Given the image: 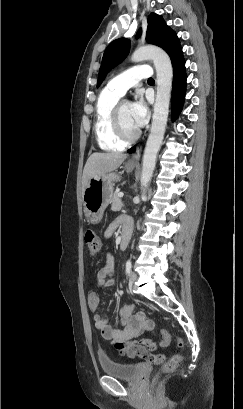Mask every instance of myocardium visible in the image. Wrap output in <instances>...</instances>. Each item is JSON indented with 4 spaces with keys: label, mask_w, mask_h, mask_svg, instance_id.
<instances>
[{
    "label": "myocardium",
    "mask_w": 243,
    "mask_h": 409,
    "mask_svg": "<svg viewBox=\"0 0 243 409\" xmlns=\"http://www.w3.org/2000/svg\"><path fill=\"white\" fill-rule=\"evenodd\" d=\"M124 102L126 101H118L117 104L115 105L112 112L111 122L115 136L118 138V140L127 144L134 142L139 137L140 133L139 130H136L133 133L129 134L124 130L120 120V110Z\"/></svg>",
    "instance_id": "obj_1"
}]
</instances>
